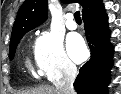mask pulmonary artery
Instances as JSON below:
<instances>
[{
  "label": "pulmonary artery",
  "instance_id": "obj_1",
  "mask_svg": "<svg viewBox=\"0 0 121 94\" xmlns=\"http://www.w3.org/2000/svg\"><path fill=\"white\" fill-rule=\"evenodd\" d=\"M66 27L69 29V30H75L77 28V24L74 20V16L72 13H68L66 15Z\"/></svg>",
  "mask_w": 121,
  "mask_h": 94
}]
</instances>
